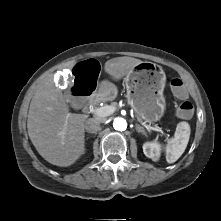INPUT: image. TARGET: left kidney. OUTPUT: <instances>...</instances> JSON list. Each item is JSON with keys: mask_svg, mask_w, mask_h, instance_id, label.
<instances>
[{"mask_svg": "<svg viewBox=\"0 0 221 221\" xmlns=\"http://www.w3.org/2000/svg\"><path fill=\"white\" fill-rule=\"evenodd\" d=\"M160 145L157 142H146L143 144V152L154 161H157L160 157Z\"/></svg>", "mask_w": 221, "mask_h": 221, "instance_id": "left-kidney-1", "label": "left kidney"}]
</instances>
